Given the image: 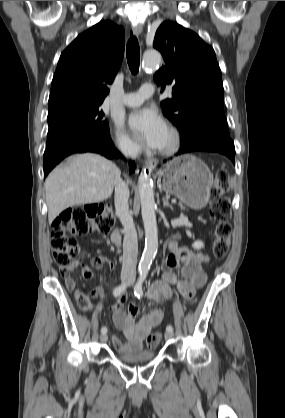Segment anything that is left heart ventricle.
I'll use <instances>...</instances> for the list:
<instances>
[{"label":"left heart ventricle","mask_w":285,"mask_h":418,"mask_svg":"<svg viewBox=\"0 0 285 418\" xmlns=\"http://www.w3.org/2000/svg\"><path fill=\"white\" fill-rule=\"evenodd\" d=\"M167 139H168V134L166 133V135H165V137H164V139H163V141L160 145L164 144L167 141Z\"/></svg>","instance_id":"1"}]
</instances>
